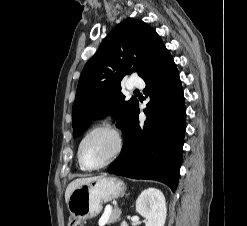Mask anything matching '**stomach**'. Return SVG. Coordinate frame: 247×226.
Returning a JSON list of instances; mask_svg holds the SVG:
<instances>
[{
  "mask_svg": "<svg viewBox=\"0 0 247 226\" xmlns=\"http://www.w3.org/2000/svg\"><path fill=\"white\" fill-rule=\"evenodd\" d=\"M123 181L116 177H97L74 189L67 206L70 212L68 226H83V222L97 216L102 204L125 193Z\"/></svg>",
  "mask_w": 247,
  "mask_h": 226,
  "instance_id": "stomach-1",
  "label": "stomach"
}]
</instances>
